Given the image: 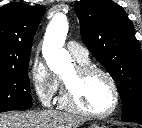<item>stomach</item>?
I'll return each instance as SVG.
<instances>
[{"mask_svg": "<svg viewBox=\"0 0 142 128\" xmlns=\"http://www.w3.org/2000/svg\"><path fill=\"white\" fill-rule=\"evenodd\" d=\"M89 128H106L104 125L93 124Z\"/></svg>", "mask_w": 142, "mask_h": 128, "instance_id": "obj_1", "label": "stomach"}]
</instances>
